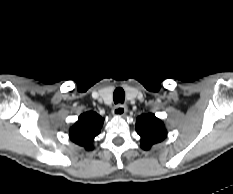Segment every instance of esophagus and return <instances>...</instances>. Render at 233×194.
Segmentation results:
<instances>
[{
	"label": "esophagus",
	"instance_id": "esophagus-1",
	"mask_svg": "<svg viewBox=\"0 0 233 194\" xmlns=\"http://www.w3.org/2000/svg\"><path fill=\"white\" fill-rule=\"evenodd\" d=\"M126 112H127V107L122 104L116 105L113 109V114L115 116H124Z\"/></svg>",
	"mask_w": 233,
	"mask_h": 194
}]
</instances>
